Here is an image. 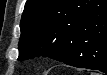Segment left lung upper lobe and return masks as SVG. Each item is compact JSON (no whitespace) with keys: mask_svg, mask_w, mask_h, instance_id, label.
Returning a JSON list of instances; mask_svg holds the SVG:
<instances>
[{"mask_svg":"<svg viewBox=\"0 0 107 75\" xmlns=\"http://www.w3.org/2000/svg\"><path fill=\"white\" fill-rule=\"evenodd\" d=\"M97 7L94 0H27L22 14L19 60L72 45L78 23Z\"/></svg>","mask_w":107,"mask_h":75,"instance_id":"obj_1","label":"left lung upper lobe"}]
</instances>
